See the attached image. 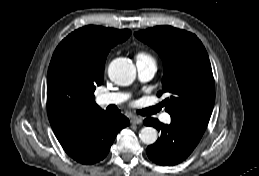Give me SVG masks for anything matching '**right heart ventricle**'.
<instances>
[{
	"label": "right heart ventricle",
	"instance_id": "obj_1",
	"mask_svg": "<svg viewBox=\"0 0 259 176\" xmlns=\"http://www.w3.org/2000/svg\"><path fill=\"white\" fill-rule=\"evenodd\" d=\"M147 58H150V56L144 52H140L137 54V60L147 59Z\"/></svg>",
	"mask_w": 259,
	"mask_h": 176
}]
</instances>
